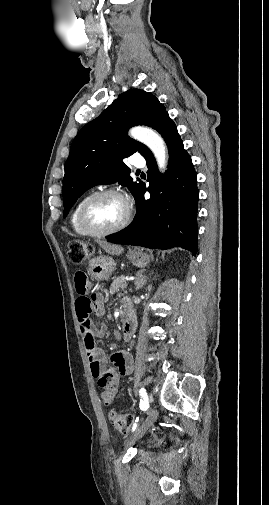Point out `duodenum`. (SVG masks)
<instances>
[{"label": "duodenum", "instance_id": "duodenum-1", "mask_svg": "<svg viewBox=\"0 0 269 505\" xmlns=\"http://www.w3.org/2000/svg\"><path fill=\"white\" fill-rule=\"evenodd\" d=\"M136 329V316L129 301L125 302V312L122 321V335L125 341H129Z\"/></svg>", "mask_w": 269, "mask_h": 505}]
</instances>
